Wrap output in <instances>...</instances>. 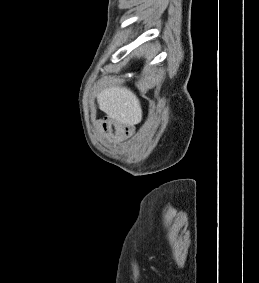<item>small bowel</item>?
Instances as JSON below:
<instances>
[{
	"label": "small bowel",
	"instance_id": "c3829d8e",
	"mask_svg": "<svg viewBox=\"0 0 259 283\" xmlns=\"http://www.w3.org/2000/svg\"><path fill=\"white\" fill-rule=\"evenodd\" d=\"M96 127L100 134L118 143L130 139L134 133V127L131 124L118 121L109 116L98 119Z\"/></svg>",
	"mask_w": 259,
	"mask_h": 283
}]
</instances>
